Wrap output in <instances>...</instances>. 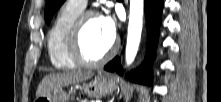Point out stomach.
Listing matches in <instances>:
<instances>
[{
    "label": "stomach",
    "mask_w": 221,
    "mask_h": 102,
    "mask_svg": "<svg viewBox=\"0 0 221 102\" xmlns=\"http://www.w3.org/2000/svg\"><path fill=\"white\" fill-rule=\"evenodd\" d=\"M116 87L117 84L114 78L100 75L94 80L84 83L80 86V89L89 97H99L102 95L112 94ZM70 94L71 92L68 93L62 89H57L54 93L38 97L35 102H69Z\"/></svg>",
    "instance_id": "0dacf381"
}]
</instances>
